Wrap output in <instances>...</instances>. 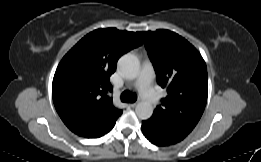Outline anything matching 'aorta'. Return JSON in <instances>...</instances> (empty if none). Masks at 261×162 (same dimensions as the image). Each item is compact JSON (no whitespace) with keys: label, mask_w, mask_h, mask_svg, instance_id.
Here are the masks:
<instances>
[{"label":"aorta","mask_w":261,"mask_h":162,"mask_svg":"<svg viewBox=\"0 0 261 162\" xmlns=\"http://www.w3.org/2000/svg\"><path fill=\"white\" fill-rule=\"evenodd\" d=\"M120 73L127 79H135L140 70L138 58L133 54H125L118 61ZM136 115L141 120L149 119L153 114V106L146 101L139 102L135 108Z\"/></svg>","instance_id":"762f6f07"}]
</instances>
